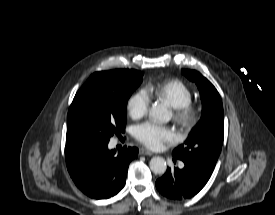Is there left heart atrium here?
I'll return each mask as SVG.
<instances>
[{
    "label": "left heart atrium",
    "instance_id": "left-heart-atrium-1",
    "mask_svg": "<svg viewBox=\"0 0 275 215\" xmlns=\"http://www.w3.org/2000/svg\"><path fill=\"white\" fill-rule=\"evenodd\" d=\"M134 136L145 146L158 149L165 142H174L175 132L167 127L154 122H145L134 128Z\"/></svg>",
    "mask_w": 275,
    "mask_h": 215
}]
</instances>
